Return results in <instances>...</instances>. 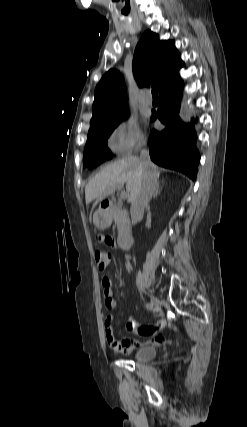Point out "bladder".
Returning <instances> with one entry per match:
<instances>
[{
	"label": "bladder",
	"mask_w": 247,
	"mask_h": 427,
	"mask_svg": "<svg viewBox=\"0 0 247 427\" xmlns=\"http://www.w3.org/2000/svg\"><path fill=\"white\" fill-rule=\"evenodd\" d=\"M156 355V348L151 345L139 347L133 358L138 362H146L154 358Z\"/></svg>",
	"instance_id": "obj_1"
}]
</instances>
